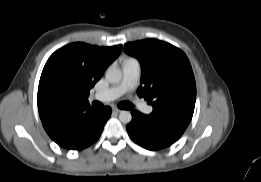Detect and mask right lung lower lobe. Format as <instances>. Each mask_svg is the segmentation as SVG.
I'll use <instances>...</instances> for the list:
<instances>
[{
  "label": "right lung lower lobe",
  "instance_id": "obj_1",
  "mask_svg": "<svg viewBox=\"0 0 261 182\" xmlns=\"http://www.w3.org/2000/svg\"><path fill=\"white\" fill-rule=\"evenodd\" d=\"M111 112L110 107H105L102 110L92 109L81 114L64 140L56 143L65 149L73 150H82L92 145L99 138Z\"/></svg>",
  "mask_w": 261,
  "mask_h": 182
}]
</instances>
